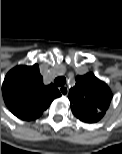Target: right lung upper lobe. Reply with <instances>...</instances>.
Returning a JSON list of instances; mask_svg holds the SVG:
<instances>
[{"label": "right lung upper lobe", "instance_id": "cb5924a9", "mask_svg": "<svg viewBox=\"0 0 122 154\" xmlns=\"http://www.w3.org/2000/svg\"><path fill=\"white\" fill-rule=\"evenodd\" d=\"M42 80L37 64L20 65L7 73L2 93L5 104L15 116L26 121L34 120L61 96L53 84L46 86Z\"/></svg>", "mask_w": 122, "mask_h": 154}]
</instances>
